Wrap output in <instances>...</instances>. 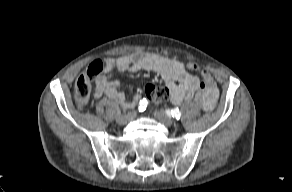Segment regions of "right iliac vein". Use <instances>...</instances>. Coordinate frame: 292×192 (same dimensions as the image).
Wrapping results in <instances>:
<instances>
[{
    "label": "right iliac vein",
    "mask_w": 292,
    "mask_h": 192,
    "mask_svg": "<svg viewBox=\"0 0 292 192\" xmlns=\"http://www.w3.org/2000/svg\"><path fill=\"white\" fill-rule=\"evenodd\" d=\"M136 115H137L136 111L129 112L125 115L120 116L117 119V122L121 125L126 124L127 122L133 120L136 117Z\"/></svg>",
    "instance_id": "right-iliac-vein-1"
}]
</instances>
